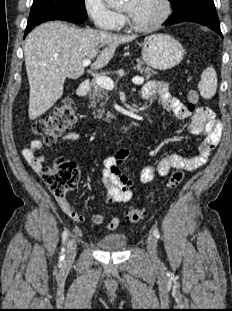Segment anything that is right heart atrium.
<instances>
[{
	"mask_svg": "<svg viewBox=\"0 0 232 311\" xmlns=\"http://www.w3.org/2000/svg\"><path fill=\"white\" fill-rule=\"evenodd\" d=\"M84 8L94 25L104 31L117 30L122 22L123 15L106 3V0H84Z\"/></svg>",
	"mask_w": 232,
	"mask_h": 311,
	"instance_id": "right-heart-atrium-1",
	"label": "right heart atrium"
}]
</instances>
